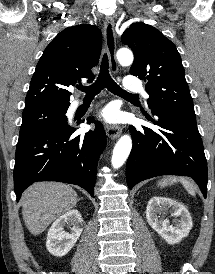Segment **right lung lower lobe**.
Segmentation results:
<instances>
[{
  "label": "right lung lower lobe",
  "mask_w": 215,
  "mask_h": 274,
  "mask_svg": "<svg viewBox=\"0 0 215 274\" xmlns=\"http://www.w3.org/2000/svg\"><path fill=\"white\" fill-rule=\"evenodd\" d=\"M94 131L75 136L67 119L40 131L17 144L14 191L19 201L22 192L36 181H59L79 185L94 197L98 158L106 145L101 123Z\"/></svg>",
  "instance_id": "obj_1"
}]
</instances>
